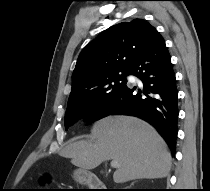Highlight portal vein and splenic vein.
I'll return each mask as SVG.
<instances>
[{"label":"portal vein and splenic vein","mask_w":210,"mask_h":191,"mask_svg":"<svg viewBox=\"0 0 210 191\" xmlns=\"http://www.w3.org/2000/svg\"><path fill=\"white\" fill-rule=\"evenodd\" d=\"M110 166H111L112 168H117V167H119L118 161H117V160H112L111 163H110Z\"/></svg>","instance_id":"1"}]
</instances>
